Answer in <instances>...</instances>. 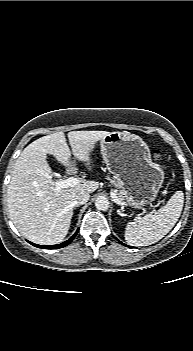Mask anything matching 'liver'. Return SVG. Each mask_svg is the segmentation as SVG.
Returning a JSON list of instances; mask_svg holds the SVG:
<instances>
[{
  "label": "liver",
  "mask_w": 193,
  "mask_h": 351,
  "mask_svg": "<svg viewBox=\"0 0 193 351\" xmlns=\"http://www.w3.org/2000/svg\"><path fill=\"white\" fill-rule=\"evenodd\" d=\"M108 134L107 131H71L68 133L70 150L65 134L57 132L33 141L22 151L7 190L9 215L22 236L42 245L57 244L66 237L75 196L81 191L93 193L99 183L84 181L55 191L54 173L47 162V154L64 166L70 165L72 154L91 170L95 144Z\"/></svg>",
  "instance_id": "6515ba94"
}]
</instances>
